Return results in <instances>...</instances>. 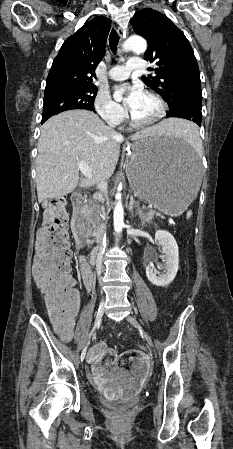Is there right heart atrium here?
Listing matches in <instances>:
<instances>
[{
	"label": "right heart atrium",
	"mask_w": 233,
	"mask_h": 449,
	"mask_svg": "<svg viewBox=\"0 0 233 449\" xmlns=\"http://www.w3.org/2000/svg\"><path fill=\"white\" fill-rule=\"evenodd\" d=\"M94 108L110 126H117L126 118L124 108L113 100L106 91H99L94 100Z\"/></svg>",
	"instance_id": "right-heart-atrium-1"
}]
</instances>
